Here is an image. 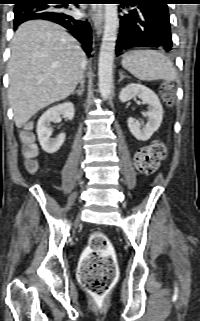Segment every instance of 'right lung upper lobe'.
I'll return each instance as SVG.
<instances>
[{
    "instance_id": "1",
    "label": "right lung upper lobe",
    "mask_w": 200,
    "mask_h": 321,
    "mask_svg": "<svg viewBox=\"0 0 200 321\" xmlns=\"http://www.w3.org/2000/svg\"><path fill=\"white\" fill-rule=\"evenodd\" d=\"M15 1V3L17 4V3H19V2H21V1H23V0H14Z\"/></svg>"
}]
</instances>
